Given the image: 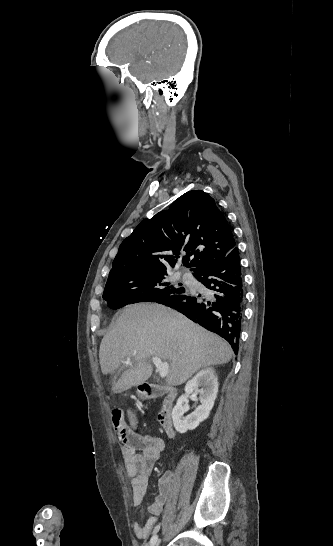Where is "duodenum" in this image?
I'll return each instance as SVG.
<instances>
[{"label": "duodenum", "instance_id": "duodenum-1", "mask_svg": "<svg viewBox=\"0 0 333 546\" xmlns=\"http://www.w3.org/2000/svg\"><path fill=\"white\" fill-rule=\"evenodd\" d=\"M141 393L145 399H155L163 397L162 404L158 413V421L168 437L174 436L172 421L173 403L176 398V390L173 387H159L153 384H143L140 387Z\"/></svg>", "mask_w": 333, "mask_h": 546}]
</instances>
